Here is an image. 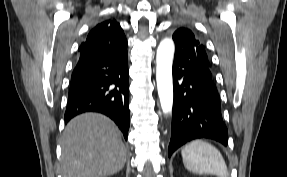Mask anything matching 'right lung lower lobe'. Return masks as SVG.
I'll list each match as a JSON object with an SVG mask.
<instances>
[{"label":"right lung lower lobe","mask_w":287,"mask_h":177,"mask_svg":"<svg viewBox=\"0 0 287 177\" xmlns=\"http://www.w3.org/2000/svg\"><path fill=\"white\" fill-rule=\"evenodd\" d=\"M73 70L65 122L84 112L109 116L125 139L129 130L127 41L123 31L90 32Z\"/></svg>","instance_id":"1"}]
</instances>
